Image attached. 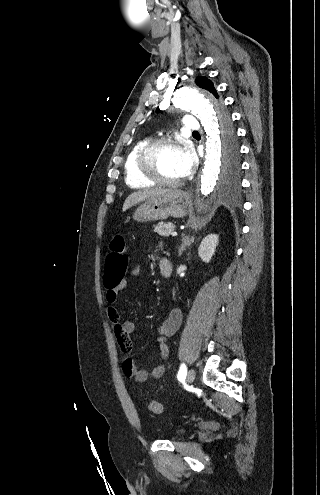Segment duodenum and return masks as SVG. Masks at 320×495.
Instances as JSON below:
<instances>
[{"instance_id":"410a0bca","label":"duodenum","mask_w":320,"mask_h":495,"mask_svg":"<svg viewBox=\"0 0 320 495\" xmlns=\"http://www.w3.org/2000/svg\"><path fill=\"white\" fill-rule=\"evenodd\" d=\"M159 268H160V272H161V275L164 277V278H169L171 277L172 273H173V264L171 262L170 259L166 258V257H163L161 260H160V263H159Z\"/></svg>"}]
</instances>
